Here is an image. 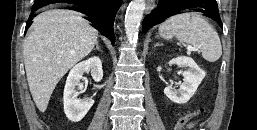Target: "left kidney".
I'll use <instances>...</instances> for the list:
<instances>
[{"mask_svg":"<svg viewBox=\"0 0 257 130\" xmlns=\"http://www.w3.org/2000/svg\"><path fill=\"white\" fill-rule=\"evenodd\" d=\"M170 65L176 64L179 67L187 68L182 73L184 79L178 90L172 87H166L164 94L172 101L178 104H184L195 94L198 86L205 77V72L190 57H178L169 62Z\"/></svg>","mask_w":257,"mask_h":130,"instance_id":"1","label":"left kidney"}]
</instances>
